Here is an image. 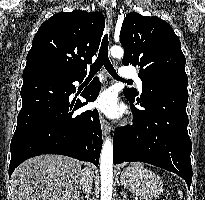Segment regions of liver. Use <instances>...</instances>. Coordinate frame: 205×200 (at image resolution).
Masks as SVG:
<instances>
[{
	"mask_svg": "<svg viewBox=\"0 0 205 200\" xmlns=\"http://www.w3.org/2000/svg\"><path fill=\"white\" fill-rule=\"evenodd\" d=\"M81 166L61 155L30 158L12 174L13 200H79Z\"/></svg>",
	"mask_w": 205,
	"mask_h": 200,
	"instance_id": "liver-1",
	"label": "liver"
}]
</instances>
